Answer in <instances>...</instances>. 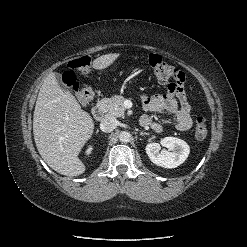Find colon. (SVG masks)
Returning <instances> with one entry per match:
<instances>
[{
  "instance_id": "obj_1",
  "label": "colon",
  "mask_w": 247,
  "mask_h": 247,
  "mask_svg": "<svg viewBox=\"0 0 247 247\" xmlns=\"http://www.w3.org/2000/svg\"><path fill=\"white\" fill-rule=\"evenodd\" d=\"M91 57L82 56L71 60L68 63L70 71L64 73L63 83L74 93L77 100L82 104H87L94 98V90L89 86H81L75 71L87 73L91 67ZM148 63L156 79L168 86H175L183 83L184 74L177 68L165 62L158 54H151ZM208 133L207 120L203 116H198L195 120L194 134L198 140H204Z\"/></svg>"
}]
</instances>
